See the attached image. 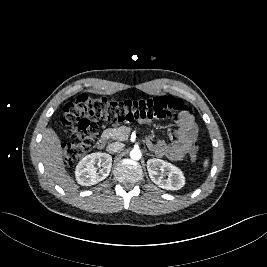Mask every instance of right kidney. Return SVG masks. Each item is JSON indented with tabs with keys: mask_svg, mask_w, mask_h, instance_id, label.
<instances>
[{
	"mask_svg": "<svg viewBox=\"0 0 267 267\" xmlns=\"http://www.w3.org/2000/svg\"><path fill=\"white\" fill-rule=\"evenodd\" d=\"M96 165L99 167L97 170ZM112 157L107 153H92L80 160L75 176L78 184L91 186L104 180L110 173Z\"/></svg>",
	"mask_w": 267,
	"mask_h": 267,
	"instance_id": "right-kidney-1",
	"label": "right kidney"
}]
</instances>
